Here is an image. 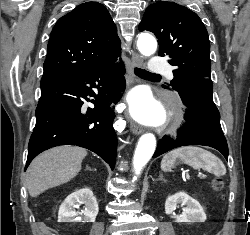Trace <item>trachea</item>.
<instances>
[{
  "label": "trachea",
  "mask_w": 250,
  "mask_h": 235,
  "mask_svg": "<svg viewBox=\"0 0 250 235\" xmlns=\"http://www.w3.org/2000/svg\"><path fill=\"white\" fill-rule=\"evenodd\" d=\"M134 72L139 77H161L159 74L150 73L149 71L140 68H135Z\"/></svg>",
  "instance_id": "1"
}]
</instances>
